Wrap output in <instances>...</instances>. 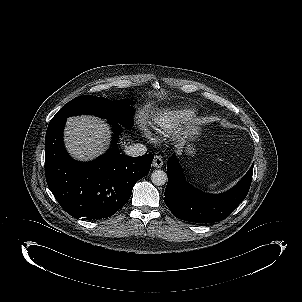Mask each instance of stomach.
I'll list each match as a JSON object with an SVG mask.
<instances>
[{
	"label": "stomach",
	"instance_id": "obj_1",
	"mask_svg": "<svg viewBox=\"0 0 302 302\" xmlns=\"http://www.w3.org/2000/svg\"><path fill=\"white\" fill-rule=\"evenodd\" d=\"M200 134H201V128L198 124H191L186 129V139L188 141H194L196 138H198L200 136ZM185 151L189 155H194L195 148H194L193 144L188 143Z\"/></svg>",
	"mask_w": 302,
	"mask_h": 302
}]
</instances>
